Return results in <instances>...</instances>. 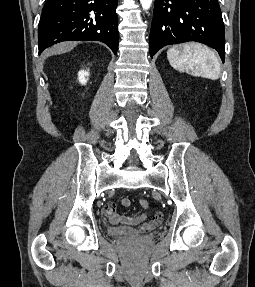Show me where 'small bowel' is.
<instances>
[{"mask_svg":"<svg viewBox=\"0 0 255 287\" xmlns=\"http://www.w3.org/2000/svg\"><path fill=\"white\" fill-rule=\"evenodd\" d=\"M121 203L123 206L128 207L130 206L131 201L129 198H123ZM104 212L112 224H124L137 227L142 230L154 229L163 221L162 213H156L149 221H146L147 217L144 214H138L134 216L120 215L117 213L116 204L114 203L107 204L104 208Z\"/></svg>","mask_w":255,"mask_h":287,"instance_id":"small-bowel-1","label":"small bowel"}]
</instances>
